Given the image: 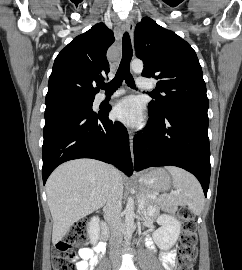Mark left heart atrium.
<instances>
[{
  "mask_svg": "<svg viewBox=\"0 0 242 270\" xmlns=\"http://www.w3.org/2000/svg\"><path fill=\"white\" fill-rule=\"evenodd\" d=\"M114 117L127 125H137L142 121V108L135 97H127L113 109Z\"/></svg>",
  "mask_w": 242,
  "mask_h": 270,
  "instance_id": "39dd6f15",
  "label": "left heart atrium"
}]
</instances>
